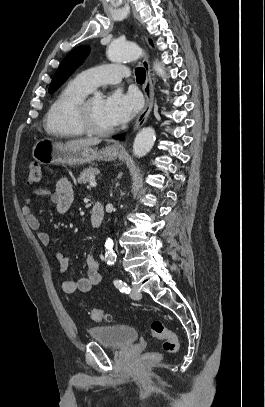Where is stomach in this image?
<instances>
[{
  "mask_svg": "<svg viewBox=\"0 0 265 407\" xmlns=\"http://www.w3.org/2000/svg\"><path fill=\"white\" fill-rule=\"evenodd\" d=\"M117 151L109 147L101 150L89 146L72 145L53 142L48 139L36 141L32 149V157L40 164L81 165L94 160L113 161L118 156Z\"/></svg>",
  "mask_w": 265,
  "mask_h": 407,
  "instance_id": "0dacf381",
  "label": "stomach"
}]
</instances>
